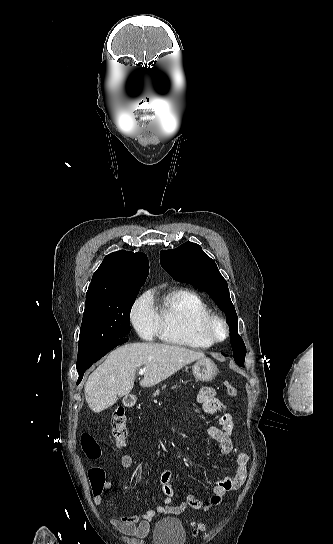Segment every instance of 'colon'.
<instances>
[{
    "mask_svg": "<svg viewBox=\"0 0 333 544\" xmlns=\"http://www.w3.org/2000/svg\"><path fill=\"white\" fill-rule=\"evenodd\" d=\"M225 387L228 396H237L238 391L236 387L231 385L229 382H225ZM110 424L112 434L117 445L119 447L124 446L127 436V418L124 408L118 407L117 409H115L111 416ZM82 449L85 455L90 460H97L100 457L101 451L99 445L97 444L95 439L88 434H84L82 436ZM88 477L93 492H99L103 489L106 483V473L103 468L98 466L91 467L88 471ZM192 526L195 533H198L205 529L204 524L192 523Z\"/></svg>",
    "mask_w": 333,
    "mask_h": 544,
    "instance_id": "obj_1",
    "label": "colon"
}]
</instances>
